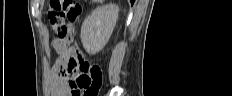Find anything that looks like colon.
Listing matches in <instances>:
<instances>
[{"label":"colon","instance_id":"1","mask_svg":"<svg viewBox=\"0 0 232 96\" xmlns=\"http://www.w3.org/2000/svg\"><path fill=\"white\" fill-rule=\"evenodd\" d=\"M81 6L75 0H50L48 17L52 29L60 41L70 38L69 25L76 22L81 14ZM67 55V73H75V96H97L102 85L103 72L100 66L83 57L75 47L69 44Z\"/></svg>","mask_w":232,"mask_h":96}]
</instances>
